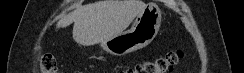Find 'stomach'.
Instances as JSON below:
<instances>
[{"label": "stomach", "instance_id": "obj_1", "mask_svg": "<svg viewBox=\"0 0 244 73\" xmlns=\"http://www.w3.org/2000/svg\"><path fill=\"white\" fill-rule=\"evenodd\" d=\"M161 15L157 4H147L138 14L131 29L101 42V47L116 56L126 55L146 47L159 31Z\"/></svg>", "mask_w": 244, "mask_h": 73}]
</instances>
